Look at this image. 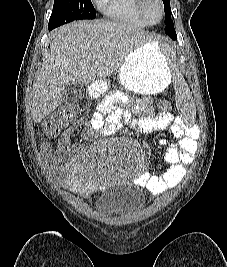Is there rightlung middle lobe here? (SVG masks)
I'll list each match as a JSON object with an SVG mask.
<instances>
[{"mask_svg": "<svg viewBox=\"0 0 227 267\" xmlns=\"http://www.w3.org/2000/svg\"><path fill=\"white\" fill-rule=\"evenodd\" d=\"M96 11L91 0H54L49 27L56 28L79 19H93Z\"/></svg>", "mask_w": 227, "mask_h": 267, "instance_id": "dd1d6c3e", "label": "right lung middle lobe"}]
</instances>
